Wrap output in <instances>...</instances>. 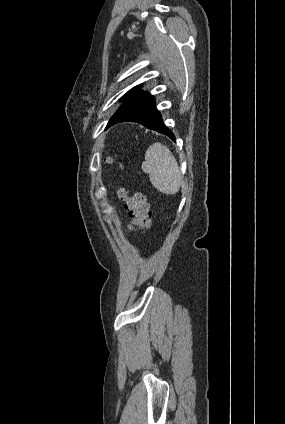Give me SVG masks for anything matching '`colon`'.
Segmentation results:
<instances>
[{"instance_id":"1","label":"colon","mask_w":285,"mask_h":424,"mask_svg":"<svg viewBox=\"0 0 285 424\" xmlns=\"http://www.w3.org/2000/svg\"><path fill=\"white\" fill-rule=\"evenodd\" d=\"M111 161V159H108V162ZM117 197L128 212L130 231L144 229L149 225L151 217L150 204L143 193L129 194L126 189H120L117 192Z\"/></svg>"}]
</instances>
